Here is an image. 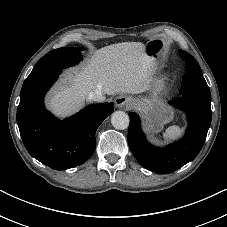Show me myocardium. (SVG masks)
Instances as JSON below:
<instances>
[{
  "mask_svg": "<svg viewBox=\"0 0 227 227\" xmlns=\"http://www.w3.org/2000/svg\"><path fill=\"white\" fill-rule=\"evenodd\" d=\"M170 78L169 76H163L159 81V86H164L169 82Z\"/></svg>",
  "mask_w": 227,
  "mask_h": 227,
  "instance_id": "1",
  "label": "myocardium"
}]
</instances>
